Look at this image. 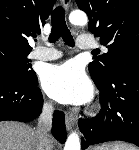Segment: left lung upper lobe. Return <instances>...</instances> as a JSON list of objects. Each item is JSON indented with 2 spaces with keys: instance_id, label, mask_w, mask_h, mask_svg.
I'll list each match as a JSON object with an SVG mask.
<instances>
[{
  "instance_id": "left-lung-upper-lobe-1",
  "label": "left lung upper lobe",
  "mask_w": 139,
  "mask_h": 150,
  "mask_svg": "<svg viewBox=\"0 0 139 150\" xmlns=\"http://www.w3.org/2000/svg\"><path fill=\"white\" fill-rule=\"evenodd\" d=\"M89 17V31L108 52L89 64L91 76L107 84L118 64L139 52V0H76Z\"/></svg>"
}]
</instances>
